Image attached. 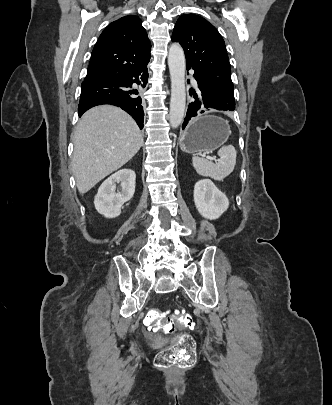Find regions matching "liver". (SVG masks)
Here are the masks:
<instances>
[{
	"label": "liver",
	"instance_id": "1",
	"mask_svg": "<svg viewBox=\"0 0 332 405\" xmlns=\"http://www.w3.org/2000/svg\"><path fill=\"white\" fill-rule=\"evenodd\" d=\"M73 143L72 173L84 194L132 159L143 144V134L125 111L102 105L82 116Z\"/></svg>",
	"mask_w": 332,
	"mask_h": 405
}]
</instances>
